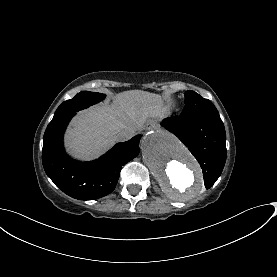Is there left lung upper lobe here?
I'll return each mask as SVG.
<instances>
[{"label": "left lung upper lobe", "mask_w": 277, "mask_h": 277, "mask_svg": "<svg viewBox=\"0 0 277 277\" xmlns=\"http://www.w3.org/2000/svg\"><path fill=\"white\" fill-rule=\"evenodd\" d=\"M185 108L181 113L184 118L220 117L217 109L208 99L202 98L194 91H186Z\"/></svg>", "instance_id": "obj_1"}]
</instances>
